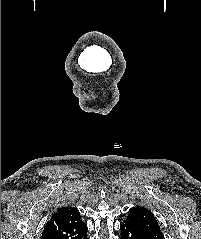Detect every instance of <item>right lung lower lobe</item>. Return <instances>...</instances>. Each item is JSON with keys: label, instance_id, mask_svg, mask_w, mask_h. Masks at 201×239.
<instances>
[{"label": "right lung lower lobe", "instance_id": "right-lung-lower-lobe-1", "mask_svg": "<svg viewBox=\"0 0 201 239\" xmlns=\"http://www.w3.org/2000/svg\"><path fill=\"white\" fill-rule=\"evenodd\" d=\"M84 239H88V238H87V235L84 237Z\"/></svg>", "mask_w": 201, "mask_h": 239}]
</instances>
